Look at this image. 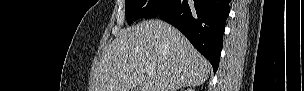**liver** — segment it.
<instances>
[{
    "label": "liver",
    "instance_id": "obj_1",
    "mask_svg": "<svg viewBox=\"0 0 304 91\" xmlns=\"http://www.w3.org/2000/svg\"><path fill=\"white\" fill-rule=\"evenodd\" d=\"M153 73L145 79V67ZM210 63L176 28L161 20L121 30L100 60L95 91H176L199 86Z\"/></svg>",
    "mask_w": 304,
    "mask_h": 91
}]
</instances>
